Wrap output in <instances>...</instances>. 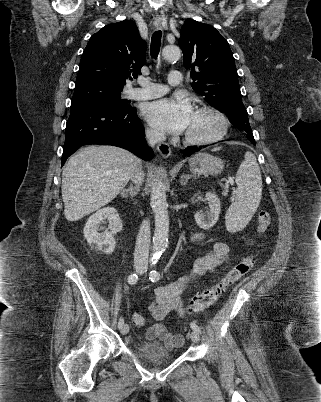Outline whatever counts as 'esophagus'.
Returning <instances> with one entry per match:
<instances>
[{
    "label": "esophagus",
    "mask_w": 321,
    "mask_h": 402,
    "mask_svg": "<svg viewBox=\"0 0 321 402\" xmlns=\"http://www.w3.org/2000/svg\"><path fill=\"white\" fill-rule=\"evenodd\" d=\"M154 23H155L156 27H160L162 24V19L156 18ZM157 150L160 153V155L164 158H168L171 154V149H170L169 145L165 142H159L157 144Z\"/></svg>",
    "instance_id": "obj_1"
}]
</instances>
